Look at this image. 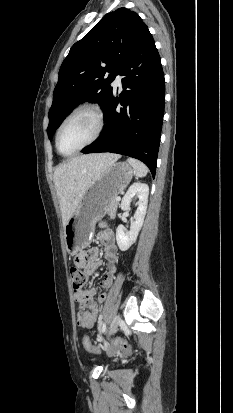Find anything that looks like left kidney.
I'll list each match as a JSON object with an SVG mask.
<instances>
[{"mask_svg":"<svg viewBox=\"0 0 233 413\" xmlns=\"http://www.w3.org/2000/svg\"><path fill=\"white\" fill-rule=\"evenodd\" d=\"M149 187L147 184L141 182H135L130 186L127 193L121 202V209L123 211L130 210V202L137 196L139 198L137 202V210L131 223L130 231L127 232L123 225H119L116 230V240L121 251L128 250L133 243H135L138 233L143 225L144 217L146 214L148 203Z\"/></svg>","mask_w":233,"mask_h":413,"instance_id":"5707ae66","label":"left kidney"}]
</instances>
